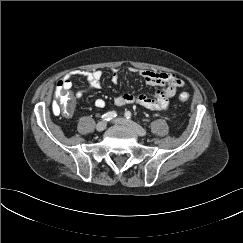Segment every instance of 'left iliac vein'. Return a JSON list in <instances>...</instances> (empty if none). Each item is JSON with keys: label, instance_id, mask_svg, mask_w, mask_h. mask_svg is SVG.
Wrapping results in <instances>:
<instances>
[{"label": "left iliac vein", "instance_id": "left-iliac-vein-1", "mask_svg": "<svg viewBox=\"0 0 243 243\" xmlns=\"http://www.w3.org/2000/svg\"><path fill=\"white\" fill-rule=\"evenodd\" d=\"M115 123L117 124H124L129 126L137 135L139 136H145L146 135V130L140 127L138 124L131 120H127L124 118H118L115 120Z\"/></svg>", "mask_w": 243, "mask_h": 243}]
</instances>
